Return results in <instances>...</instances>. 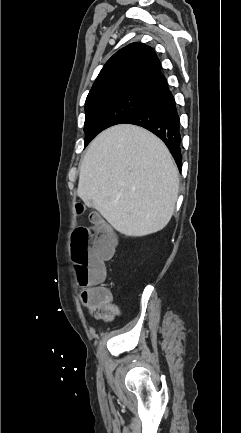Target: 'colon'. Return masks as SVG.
Returning a JSON list of instances; mask_svg holds the SVG:
<instances>
[{
	"label": "colon",
	"instance_id": "obj_1",
	"mask_svg": "<svg viewBox=\"0 0 241 433\" xmlns=\"http://www.w3.org/2000/svg\"><path fill=\"white\" fill-rule=\"evenodd\" d=\"M74 207L76 210L74 215L89 214V207L82 206L80 201H77ZM92 220L95 223L93 239L90 229L75 230L72 259L74 261L73 271L78 272L79 285L86 288L82 293V298L86 304L95 305L109 296L108 291L100 285L106 277L104 261L111 256L115 240L99 216H93Z\"/></svg>",
	"mask_w": 241,
	"mask_h": 433
}]
</instances>
